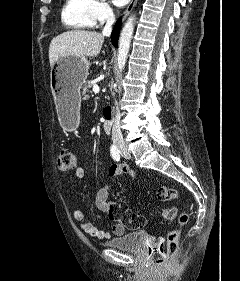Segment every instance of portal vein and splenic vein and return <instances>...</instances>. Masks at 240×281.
<instances>
[{"instance_id":"portal-vein-and-splenic-vein-1","label":"portal vein and splenic vein","mask_w":240,"mask_h":281,"mask_svg":"<svg viewBox=\"0 0 240 281\" xmlns=\"http://www.w3.org/2000/svg\"><path fill=\"white\" fill-rule=\"evenodd\" d=\"M93 91H94V93H99V91H100L99 86L98 85H94Z\"/></svg>"}]
</instances>
